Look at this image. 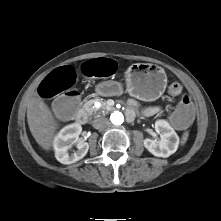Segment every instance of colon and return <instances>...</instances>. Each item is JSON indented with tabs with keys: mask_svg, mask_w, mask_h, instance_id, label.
<instances>
[{
	"mask_svg": "<svg viewBox=\"0 0 221 221\" xmlns=\"http://www.w3.org/2000/svg\"><path fill=\"white\" fill-rule=\"evenodd\" d=\"M115 70V63L111 59L103 58L86 63L83 72L90 76H108ZM76 72L71 67H62L54 70L45 77L39 87V94L43 98H52L62 92L61 97L54 101L52 117L56 121H65L82 103V94L78 90H68L76 82ZM67 90V91H66ZM181 84L174 82L168 92L173 96L182 93ZM195 105L188 96H183L178 108L171 114L170 120L177 128H186L194 122Z\"/></svg>",
	"mask_w": 221,
	"mask_h": 221,
	"instance_id": "colon-1",
	"label": "colon"
}]
</instances>
